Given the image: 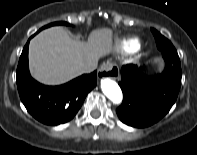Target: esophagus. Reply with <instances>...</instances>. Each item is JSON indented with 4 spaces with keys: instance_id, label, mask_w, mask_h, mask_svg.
<instances>
[{
    "instance_id": "obj_1",
    "label": "esophagus",
    "mask_w": 197,
    "mask_h": 155,
    "mask_svg": "<svg viewBox=\"0 0 197 155\" xmlns=\"http://www.w3.org/2000/svg\"><path fill=\"white\" fill-rule=\"evenodd\" d=\"M98 76L100 78L117 79L119 76V68L116 64L111 62L103 63L98 70Z\"/></svg>"
}]
</instances>
